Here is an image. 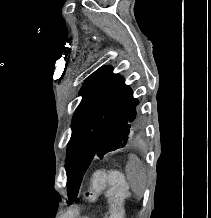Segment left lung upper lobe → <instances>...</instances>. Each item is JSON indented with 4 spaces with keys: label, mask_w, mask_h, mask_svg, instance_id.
Wrapping results in <instances>:
<instances>
[{
    "label": "left lung upper lobe",
    "mask_w": 211,
    "mask_h": 218,
    "mask_svg": "<svg viewBox=\"0 0 211 218\" xmlns=\"http://www.w3.org/2000/svg\"><path fill=\"white\" fill-rule=\"evenodd\" d=\"M72 120L65 168L70 201L77 198L83 176L95 156L133 142L141 127L139 101L124 78L101 67L83 84Z\"/></svg>",
    "instance_id": "5c2ea615"
}]
</instances>
